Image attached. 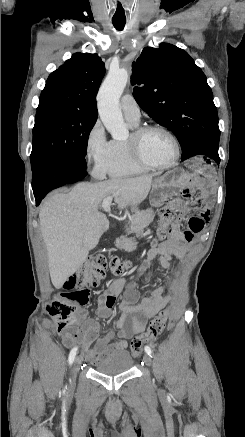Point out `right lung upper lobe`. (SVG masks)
I'll list each match as a JSON object with an SVG mask.
<instances>
[{
    "label": "right lung upper lobe",
    "mask_w": 245,
    "mask_h": 437,
    "mask_svg": "<svg viewBox=\"0 0 245 437\" xmlns=\"http://www.w3.org/2000/svg\"><path fill=\"white\" fill-rule=\"evenodd\" d=\"M104 74V62L97 54L75 53L50 74L38 107L60 106L97 116L96 94Z\"/></svg>",
    "instance_id": "right-lung-upper-lobe-1"
}]
</instances>
